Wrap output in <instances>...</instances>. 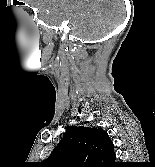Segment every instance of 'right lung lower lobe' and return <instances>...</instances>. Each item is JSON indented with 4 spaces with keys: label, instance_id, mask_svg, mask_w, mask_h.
<instances>
[{
    "label": "right lung lower lobe",
    "instance_id": "1",
    "mask_svg": "<svg viewBox=\"0 0 155 167\" xmlns=\"http://www.w3.org/2000/svg\"><path fill=\"white\" fill-rule=\"evenodd\" d=\"M119 166H122L121 164H116V165H114L113 167H119Z\"/></svg>",
    "mask_w": 155,
    "mask_h": 167
}]
</instances>
